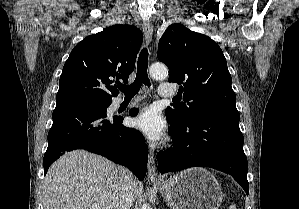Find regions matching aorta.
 Segmentation results:
<instances>
[{"instance_id":"1","label":"aorta","mask_w":299,"mask_h":209,"mask_svg":"<svg viewBox=\"0 0 299 209\" xmlns=\"http://www.w3.org/2000/svg\"><path fill=\"white\" fill-rule=\"evenodd\" d=\"M150 75L153 79L161 80L168 76V70L163 64H153L150 67ZM141 209H152L148 204H143Z\"/></svg>"}]
</instances>
